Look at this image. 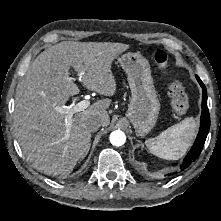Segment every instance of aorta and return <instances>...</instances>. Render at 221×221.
<instances>
[{
    "instance_id": "aorta-1",
    "label": "aorta",
    "mask_w": 221,
    "mask_h": 221,
    "mask_svg": "<svg viewBox=\"0 0 221 221\" xmlns=\"http://www.w3.org/2000/svg\"><path fill=\"white\" fill-rule=\"evenodd\" d=\"M110 142L114 146H122L126 142V135L121 130H115L110 134Z\"/></svg>"
}]
</instances>
